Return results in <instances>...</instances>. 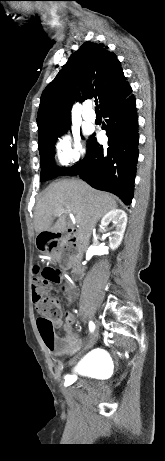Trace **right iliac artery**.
Masks as SVG:
<instances>
[{
	"mask_svg": "<svg viewBox=\"0 0 165 461\" xmlns=\"http://www.w3.org/2000/svg\"><path fill=\"white\" fill-rule=\"evenodd\" d=\"M94 327H95L94 323H93V322H90V323H89L90 331H93V330H94Z\"/></svg>",
	"mask_w": 165,
	"mask_h": 461,
	"instance_id": "1",
	"label": "right iliac artery"
}]
</instances>
